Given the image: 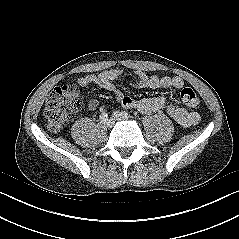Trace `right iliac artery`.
<instances>
[{
  "instance_id": "obj_1",
  "label": "right iliac artery",
  "mask_w": 239,
  "mask_h": 239,
  "mask_svg": "<svg viewBox=\"0 0 239 239\" xmlns=\"http://www.w3.org/2000/svg\"><path fill=\"white\" fill-rule=\"evenodd\" d=\"M100 120L102 123H106V121L108 120V115L106 112H102L101 115H100Z\"/></svg>"
}]
</instances>
